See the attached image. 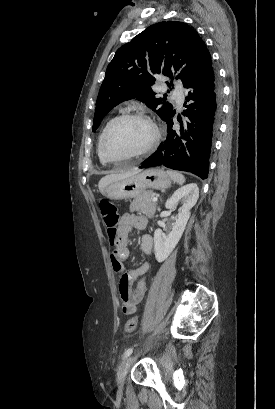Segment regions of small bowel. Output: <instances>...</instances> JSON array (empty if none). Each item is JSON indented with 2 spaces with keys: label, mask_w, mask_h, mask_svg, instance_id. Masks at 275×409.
Instances as JSON below:
<instances>
[{
  "label": "small bowel",
  "mask_w": 275,
  "mask_h": 409,
  "mask_svg": "<svg viewBox=\"0 0 275 409\" xmlns=\"http://www.w3.org/2000/svg\"><path fill=\"white\" fill-rule=\"evenodd\" d=\"M144 221L132 214H124L122 216L119 235L120 246L111 254V265L115 272L121 273V277L118 282V290L121 299V309L126 315L134 314L137 307L143 301L146 287H147V275L150 271L149 261H144L140 267L134 270H127L123 260L128 258L130 250L128 248L129 232L133 227L142 226ZM140 248L143 254L150 256L153 248V238L151 235L145 234L141 237ZM135 287L133 288V284Z\"/></svg>",
  "instance_id": "1"
}]
</instances>
